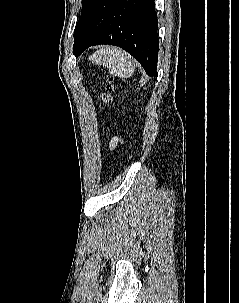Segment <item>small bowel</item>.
<instances>
[{
  "mask_svg": "<svg viewBox=\"0 0 239 303\" xmlns=\"http://www.w3.org/2000/svg\"><path fill=\"white\" fill-rule=\"evenodd\" d=\"M122 143L121 139L119 138H114L110 141L109 147L111 150L116 149L120 144Z\"/></svg>",
  "mask_w": 239,
  "mask_h": 303,
  "instance_id": "obj_1",
  "label": "small bowel"
}]
</instances>
